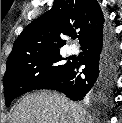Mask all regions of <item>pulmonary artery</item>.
I'll return each instance as SVG.
<instances>
[{
  "mask_svg": "<svg viewBox=\"0 0 122 123\" xmlns=\"http://www.w3.org/2000/svg\"><path fill=\"white\" fill-rule=\"evenodd\" d=\"M68 53L69 54H77L78 53V48L75 45H70L68 47Z\"/></svg>",
  "mask_w": 122,
  "mask_h": 123,
  "instance_id": "obj_1",
  "label": "pulmonary artery"
}]
</instances>
